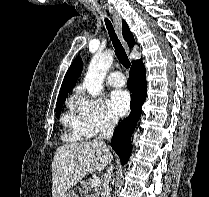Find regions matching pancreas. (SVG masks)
I'll list each match as a JSON object with an SVG mask.
<instances>
[{"mask_svg":"<svg viewBox=\"0 0 209 197\" xmlns=\"http://www.w3.org/2000/svg\"><path fill=\"white\" fill-rule=\"evenodd\" d=\"M91 180H83L81 181L80 192L84 195V197H98L100 194V186L92 187L90 184Z\"/></svg>","mask_w":209,"mask_h":197,"instance_id":"pancreas-1","label":"pancreas"}]
</instances>
